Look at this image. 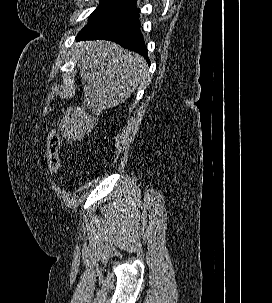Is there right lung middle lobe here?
I'll return each mask as SVG.
<instances>
[{
	"label": "right lung middle lobe",
	"mask_w": 272,
	"mask_h": 303,
	"mask_svg": "<svg viewBox=\"0 0 272 303\" xmlns=\"http://www.w3.org/2000/svg\"><path fill=\"white\" fill-rule=\"evenodd\" d=\"M138 12L139 11L133 4L102 0L97 9L91 14L89 22L80 33L90 32L103 25L135 15Z\"/></svg>",
	"instance_id": "right-lung-middle-lobe-1"
}]
</instances>
